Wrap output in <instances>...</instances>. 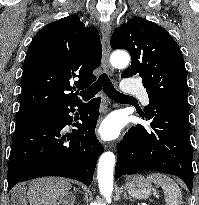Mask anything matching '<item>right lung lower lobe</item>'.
Masks as SVG:
<instances>
[{"label": "right lung lower lobe", "instance_id": "obj_1", "mask_svg": "<svg viewBox=\"0 0 199 205\" xmlns=\"http://www.w3.org/2000/svg\"><path fill=\"white\" fill-rule=\"evenodd\" d=\"M68 102L50 112L51 117L13 135L8 164V191L18 182L42 176H61L78 180L89 187L97 159L104 151L95 135L100 98L93 99L80 111L82 123L72 134H64L75 106Z\"/></svg>", "mask_w": 199, "mask_h": 205}]
</instances>
